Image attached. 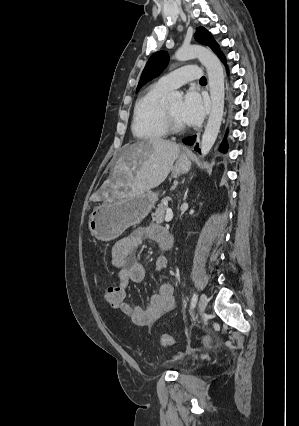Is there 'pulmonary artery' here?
<instances>
[{
  "label": "pulmonary artery",
  "instance_id": "e3ab8cb5",
  "mask_svg": "<svg viewBox=\"0 0 299 426\" xmlns=\"http://www.w3.org/2000/svg\"><path fill=\"white\" fill-rule=\"evenodd\" d=\"M200 75L201 70L198 66L187 65L162 76L158 82L171 90L178 88L192 80L199 79Z\"/></svg>",
  "mask_w": 299,
  "mask_h": 426
}]
</instances>
